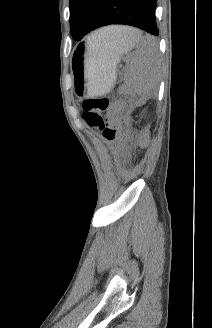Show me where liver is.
<instances>
[{"instance_id": "liver-1", "label": "liver", "mask_w": 212, "mask_h": 328, "mask_svg": "<svg viewBox=\"0 0 212 328\" xmlns=\"http://www.w3.org/2000/svg\"><path fill=\"white\" fill-rule=\"evenodd\" d=\"M107 46L111 49L126 47L135 42L138 30L125 26H112L104 29ZM120 61V59H119Z\"/></svg>"}]
</instances>
